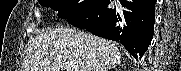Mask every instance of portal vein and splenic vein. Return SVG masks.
Segmentation results:
<instances>
[{
  "label": "portal vein and splenic vein",
  "mask_w": 181,
  "mask_h": 71,
  "mask_svg": "<svg viewBox=\"0 0 181 71\" xmlns=\"http://www.w3.org/2000/svg\"><path fill=\"white\" fill-rule=\"evenodd\" d=\"M65 70L66 71H73V69L71 67H67Z\"/></svg>",
  "instance_id": "portal-vein-and-splenic-vein-1"
}]
</instances>
